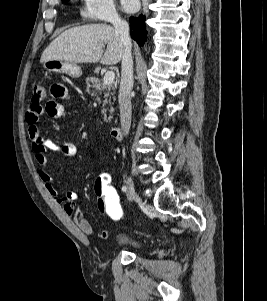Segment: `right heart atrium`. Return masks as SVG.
I'll list each match as a JSON object with an SVG mask.
<instances>
[{
	"label": "right heart atrium",
	"mask_w": 267,
	"mask_h": 301,
	"mask_svg": "<svg viewBox=\"0 0 267 301\" xmlns=\"http://www.w3.org/2000/svg\"><path fill=\"white\" fill-rule=\"evenodd\" d=\"M82 13L90 21H117L120 19L114 0H83Z\"/></svg>",
	"instance_id": "d8ad5b80"
}]
</instances>
